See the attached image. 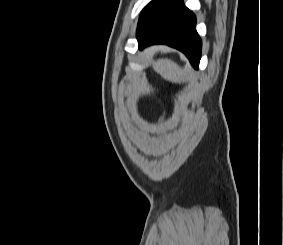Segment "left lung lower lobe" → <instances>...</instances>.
<instances>
[{
  "label": "left lung lower lobe",
  "instance_id": "left-lung-lower-lobe-1",
  "mask_svg": "<svg viewBox=\"0 0 283 245\" xmlns=\"http://www.w3.org/2000/svg\"><path fill=\"white\" fill-rule=\"evenodd\" d=\"M195 25V15L182 0H176L150 30L137 37L139 49L152 44H167L182 51L198 69L202 43Z\"/></svg>",
  "mask_w": 283,
  "mask_h": 245
}]
</instances>
